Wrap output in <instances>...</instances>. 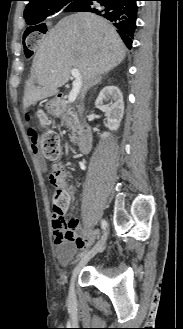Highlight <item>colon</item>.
I'll return each mask as SVG.
<instances>
[{
	"instance_id": "5ec220e1",
	"label": "colon",
	"mask_w": 183,
	"mask_h": 329,
	"mask_svg": "<svg viewBox=\"0 0 183 329\" xmlns=\"http://www.w3.org/2000/svg\"><path fill=\"white\" fill-rule=\"evenodd\" d=\"M44 23L46 25H26V31L20 32V44H22V49H25L27 57L31 56L36 49H43L42 38L46 37V32H51V25H47L49 22L46 20ZM38 117L42 123L48 120L43 112H40ZM33 141L39 145L46 159L53 161L59 157V137L56 132L45 130L38 135L36 130H33ZM60 175V171L56 169H53L49 175V180L54 185L52 192L53 215L58 217L66 228H72L66 219L71 205V196L67 187L58 182Z\"/></svg>"
}]
</instances>
